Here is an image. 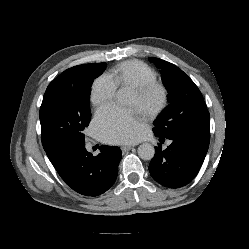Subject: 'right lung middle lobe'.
I'll return each mask as SVG.
<instances>
[{
	"instance_id": "dd1d6c3e",
	"label": "right lung middle lobe",
	"mask_w": 249,
	"mask_h": 249,
	"mask_svg": "<svg viewBox=\"0 0 249 249\" xmlns=\"http://www.w3.org/2000/svg\"><path fill=\"white\" fill-rule=\"evenodd\" d=\"M106 63L72 67L52 81L40 108L41 140L45 151L67 143H83L91 119L90 92Z\"/></svg>"
}]
</instances>
